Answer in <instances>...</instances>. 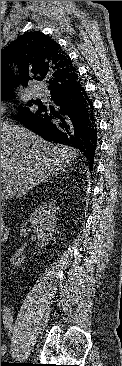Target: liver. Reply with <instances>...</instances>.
Wrapping results in <instances>:
<instances>
[{"label": "liver", "mask_w": 122, "mask_h": 366, "mask_svg": "<svg viewBox=\"0 0 122 366\" xmlns=\"http://www.w3.org/2000/svg\"><path fill=\"white\" fill-rule=\"evenodd\" d=\"M76 150L45 141L31 131L1 122V182L13 196H21L42 182Z\"/></svg>", "instance_id": "obj_1"}]
</instances>
